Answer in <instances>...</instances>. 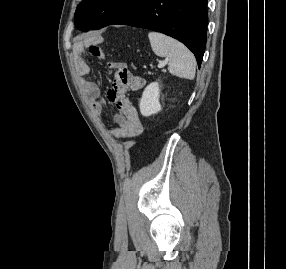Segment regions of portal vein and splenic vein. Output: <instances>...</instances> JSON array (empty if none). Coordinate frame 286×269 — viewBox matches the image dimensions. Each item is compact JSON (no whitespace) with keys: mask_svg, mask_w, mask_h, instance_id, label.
<instances>
[{"mask_svg":"<svg viewBox=\"0 0 286 269\" xmlns=\"http://www.w3.org/2000/svg\"><path fill=\"white\" fill-rule=\"evenodd\" d=\"M166 61H164V62H160L159 64H158V68H163L165 65H166Z\"/></svg>","mask_w":286,"mask_h":269,"instance_id":"18ae733b","label":"portal vein and splenic vein"}]
</instances>
